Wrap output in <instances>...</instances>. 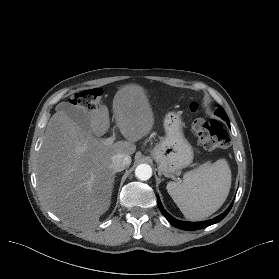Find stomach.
<instances>
[{
  "label": "stomach",
  "mask_w": 279,
  "mask_h": 279,
  "mask_svg": "<svg viewBox=\"0 0 279 279\" xmlns=\"http://www.w3.org/2000/svg\"><path fill=\"white\" fill-rule=\"evenodd\" d=\"M181 115L169 112L164 119L165 136L151 151L164 175L175 174L193 161V149L183 133Z\"/></svg>",
  "instance_id": "stomach-1"
}]
</instances>
